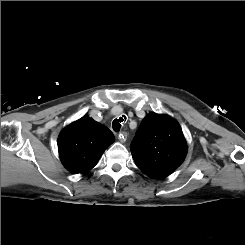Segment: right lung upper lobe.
Segmentation results:
<instances>
[{
  "label": "right lung upper lobe",
  "mask_w": 245,
  "mask_h": 245,
  "mask_svg": "<svg viewBox=\"0 0 245 245\" xmlns=\"http://www.w3.org/2000/svg\"><path fill=\"white\" fill-rule=\"evenodd\" d=\"M113 142L114 135L106 126L83 116L62 130L57 144L65 168L72 173H85Z\"/></svg>",
  "instance_id": "right-lung-upper-lobe-1"
}]
</instances>
